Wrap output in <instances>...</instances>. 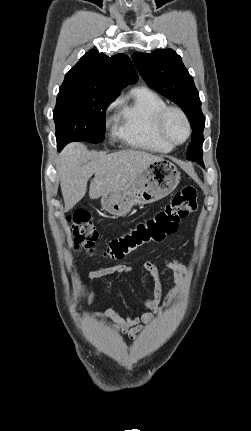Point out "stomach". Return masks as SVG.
I'll list each match as a JSON object with an SVG mask.
<instances>
[{
  "label": "stomach",
  "instance_id": "stomach-1",
  "mask_svg": "<svg viewBox=\"0 0 251 431\" xmlns=\"http://www.w3.org/2000/svg\"><path fill=\"white\" fill-rule=\"evenodd\" d=\"M180 178L177 167L169 160L150 163L126 186L103 194L102 207L113 216H124L134 205L151 204L169 195Z\"/></svg>",
  "mask_w": 251,
  "mask_h": 431
}]
</instances>
